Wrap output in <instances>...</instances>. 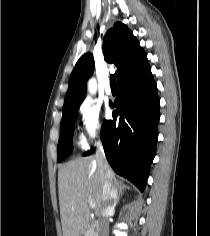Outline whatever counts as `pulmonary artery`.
Wrapping results in <instances>:
<instances>
[{
    "mask_svg": "<svg viewBox=\"0 0 210 236\" xmlns=\"http://www.w3.org/2000/svg\"><path fill=\"white\" fill-rule=\"evenodd\" d=\"M105 92H106V94H108V95H111V94H112V89H111V87H110L108 81L106 82V85H105Z\"/></svg>",
    "mask_w": 210,
    "mask_h": 236,
    "instance_id": "obj_1",
    "label": "pulmonary artery"
}]
</instances>
